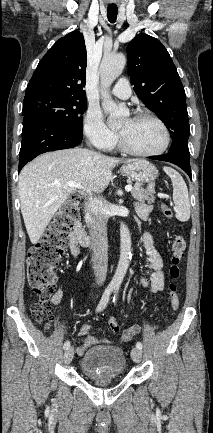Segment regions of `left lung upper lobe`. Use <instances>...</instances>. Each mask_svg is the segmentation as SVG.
<instances>
[{
    "mask_svg": "<svg viewBox=\"0 0 213 433\" xmlns=\"http://www.w3.org/2000/svg\"><path fill=\"white\" fill-rule=\"evenodd\" d=\"M127 55L135 93L171 133L173 142L168 152L189 155L185 91L168 51L158 39L139 34L128 44Z\"/></svg>",
    "mask_w": 213,
    "mask_h": 433,
    "instance_id": "left-lung-upper-lobe-1",
    "label": "left lung upper lobe"
}]
</instances>
